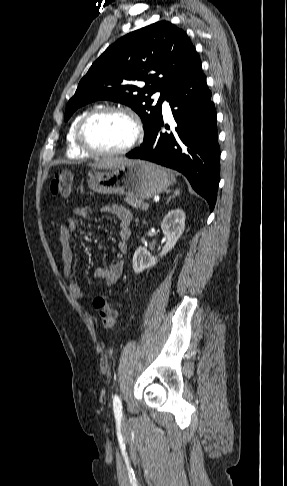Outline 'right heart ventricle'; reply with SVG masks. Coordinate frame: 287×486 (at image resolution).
Wrapping results in <instances>:
<instances>
[{"instance_id":"obj_1","label":"right heart ventricle","mask_w":287,"mask_h":486,"mask_svg":"<svg viewBox=\"0 0 287 486\" xmlns=\"http://www.w3.org/2000/svg\"><path fill=\"white\" fill-rule=\"evenodd\" d=\"M88 113V111H82L79 113L71 122L69 129L67 131L66 135V154L69 158L72 159H81V158H86L88 155H86L84 152H82L77 144H76V139H75V132L77 125L81 118Z\"/></svg>"}]
</instances>
